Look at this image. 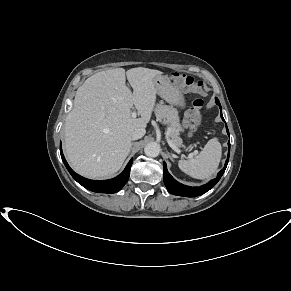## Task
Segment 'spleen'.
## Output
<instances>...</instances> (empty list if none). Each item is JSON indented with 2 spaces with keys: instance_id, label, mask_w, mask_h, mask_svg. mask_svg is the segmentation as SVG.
I'll return each instance as SVG.
<instances>
[{
  "instance_id": "1",
  "label": "spleen",
  "mask_w": 291,
  "mask_h": 291,
  "mask_svg": "<svg viewBox=\"0 0 291 291\" xmlns=\"http://www.w3.org/2000/svg\"><path fill=\"white\" fill-rule=\"evenodd\" d=\"M221 155L220 142L217 138H212L198 156L188 160H180L178 166L184 173L195 179H207L216 172Z\"/></svg>"
}]
</instances>
